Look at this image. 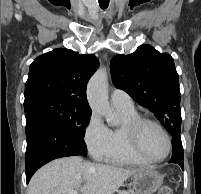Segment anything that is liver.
Listing matches in <instances>:
<instances>
[{"label": "liver", "mask_w": 201, "mask_h": 194, "mask_svg": "<svg viewBox=\"0 0 201 194\" xmlns=\"http://www.w3.org/2000/svg\"><path fill=\"white\" fill-rule=\"evenodd\" d=\"M141 169H124L84 161L81 157L54 160L31 178L28 194H113L123 182Z\"/></svg>", "instance_id": "6515ba94"}]
</instances>
